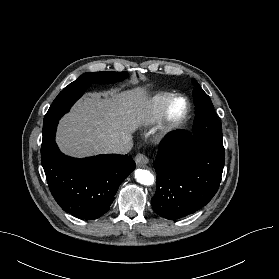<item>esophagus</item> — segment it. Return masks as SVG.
Segmentation results:
<instances>
[{
	"label": "esophagus",
	"mask_w": 279,
	"mask_h": 279,
	"mask_svg": "<svg viewBox=\"0 0 279 279\" xmlns=\"http://www.w3.org/2000/svg\"><path fill=\"white\" fill-rule=\"evenodd\" d=\"M135 162L137 166H142L149 163V159L146 155L138 153L135 157Z\"/></svg>",
	"instance_id": "34e87169"
}]
</instances>
